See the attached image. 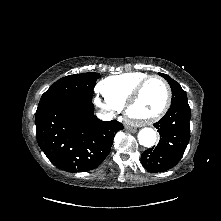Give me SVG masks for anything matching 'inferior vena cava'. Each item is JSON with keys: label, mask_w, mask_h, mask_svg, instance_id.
<instances>
[{"label": "inferior vena cava", "mask_w": 221, "mask_h": 221, "mask_svg": "<svg viewBox=\"0 0 221 221\" xmlns=\"http://www.w3.org/2000/svg\"><path fill=\"white\" fill-rule=\"evenodd\" d=\"M97 117L101 120H104V121H109L113 118L111 113H106L104 111H99L97 113Z\"/></svg>", "instance_id": "obj_1"}]
</instances>
